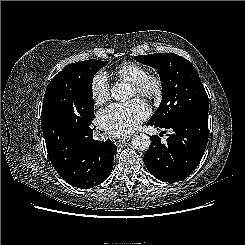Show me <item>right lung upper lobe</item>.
Here are the masks:
<instances>
[{
  "instance_id": "cb5924a9",
  "label": "right lung upper lobe",
  "mask_w": 245,
  "mask_h": 245,
  "mask_svg": "<svg viewBox=\"0 0 245 245\" xmlns=\"http://www.w3.org/2000/svg\"><path fill=\"white\" fill-rule=\"evenodd\" d=\"M77 89L70 66L67 65L48 84L41 114V127L44 136L63 131V119L75 106Z\"/></svg>"
}]
</instances>
